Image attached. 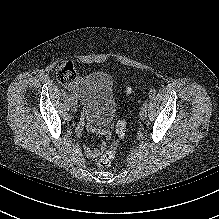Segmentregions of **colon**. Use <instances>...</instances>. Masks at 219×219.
I'll return each mask as SVG.
<instances>
[{
	"mask_svg": "<svg viewBox=\"0 0 219 219\" xmlns=\"http://www.w3.org/2000/svg\"><path fill=\"white\" fill-rule=\"evenodd\" d=\"M55 76L60 83L64 85H71L77 78L76 67L70 61H63L57 65L55 69ZM114 128L116 138L110 142L107 151L99 158L97 165L100 168L108 167L115 157L121 141L125 138L127 122L125 120H118L115 123Z\"/></svg>",
	"mask_w": 219,
	"mask_h": 219,
	"instance_id": "5ec220e1",
	"label": "colon"
}]
</instances>
